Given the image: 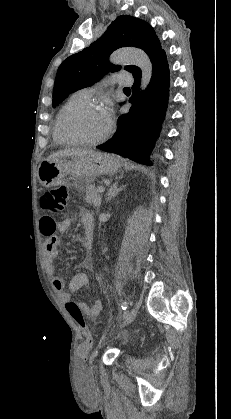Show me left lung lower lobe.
Masks as SVG:
<instances>
[{
  "mask_svg": "<svg viewBox=\"0 0 231 419\" xmlns=\"http://www.w3.org/2000/svg\"><path fill=\"white\" fill-rule=\"evenodd\" d=\"M153 74L144 92H140L141 73L134 76L129 113L118 118L115 135L97 148L149 164L147 156L158 137L169 96V66L165 51L152 62Z\"/></svg>",
  "mask_w": 231,
  "mask_h": 419,
  "instance_id": "1",
  "label": "left lung lower lobe"
}]
</instances>
